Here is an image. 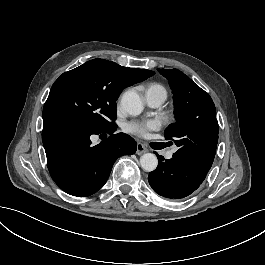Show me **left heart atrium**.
<instances>
[{
	"label": "left heart atrium",
	"instance_id": "obj_1",
	"mask_svg": "<svg viewBox=\"0 0 265 265\" xmlns=\"http://www.w3.org/2000/svg\"><path fill=\"white\" fill-rule=\"evenodd\" d=\"M158 127L159 124L153 120L145 122H132L128 125V131L139 137L146 138L149 135V131L155 130Z\"/></svg>",
	"mask_w": 265,
	"mask_h": 265
}]
</instances>
